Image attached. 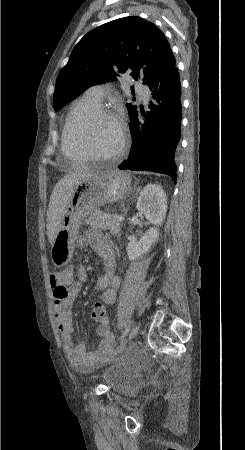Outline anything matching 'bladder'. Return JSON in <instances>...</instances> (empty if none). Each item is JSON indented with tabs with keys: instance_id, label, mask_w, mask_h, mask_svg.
Segmentation results:
<instances>
[{
	"instance_id": "bladder-1",
	"label": "bladder",
	"mask_w": 245,
	"mask_h": 450,
	"mask_svg": "<svg viewBox=\"0 0 245 450\" xmlns=\"http://www.w3.org/2000/svg\"><path fill=\"white\" fill-rule=\"evenodd\" d=\"M98 376L109 389L122 395H125L138 379L135 369L124 362L103 367Z\"/></svg>"
}]
</instances>
